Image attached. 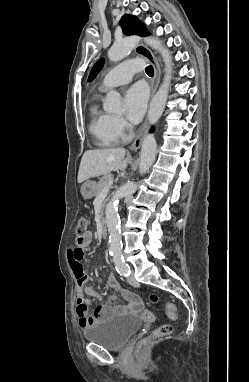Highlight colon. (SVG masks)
Wrapping results in <instances>:
<instances>
[{
    "instance_id": "5ec220e1",
    "label": "colon",
    "mask_w": 249,
    "mask_h": 382,
    "mask_svg": "<svg viewBox=\"0 0 249 382\" xmlns=\"http://www.w3.org/2000/svg\"><path fill=\"white\" fill-rule=\"evenodd\" d=\"M87 227H88L87 219L85 217H80L79 221H78V226H77V239H78V241L84 240V238L88 232ZM77 275L80 277L87 276V271L83 267L82 263H81V266H79V268L77 270ZM151 299L153 302H156L158 300V297L156 295H152ZM166 311H167V314L170 318H175L176 306L174 304H171V303L167 304ZM144 315L148 320L153 319V315L151 313H149L148 311H144ZM171 331H172V327L168 324H164V325L158 327L157 329H155L152 332V334L149 337L144 338L140 342L139 349L147 346L150 343L151 339L166 336V335L170 334Z\"/></svg>"
}]
</instances>
